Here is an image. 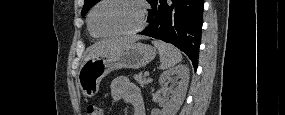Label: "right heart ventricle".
Masks as SVG:
<instances>
[{
  "instance_id": "right-heart-ventricle-1",
  "label": "right heart ventricle",
  "mask_w": 285,
  "mask_h": 115,
  "mask_svg": "<svg viewBox=\"0 0 285 115\" xmlns=\"http://www.w3.org/2000/svg\"><path fill=\"white\" fill-rule=\"evenodd\" d=\"M89 32H90V30H89ZM90 33H91V32H90ZM91 35H92L94 38H102V37L96 36V35H94V34H92V33H91Z\"/></svg>"
}]
</instances>
